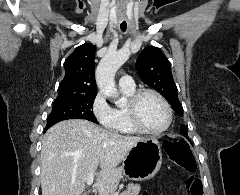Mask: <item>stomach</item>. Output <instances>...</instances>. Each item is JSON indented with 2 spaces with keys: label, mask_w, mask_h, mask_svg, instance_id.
<instances>
[{
  "label": "stomach",
  "mask_w": 240,
  "mask_h": 195,
  "mask_svg": "<svg viewBox=\"0 0 240 195\" xmlns=\"http://www.w3.org/2000/svg\"><path fill=\"white\" fill-rule=\"evenodd\" d=\"M162 165V151L157 137H144L125 155L122 163L123 175L134 181L151 179Z\"/></svg>",
  "instance_id": "0dacf381"
}]
</instances>
